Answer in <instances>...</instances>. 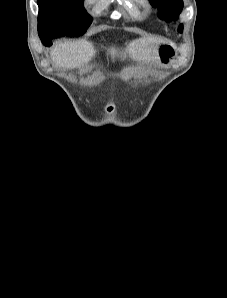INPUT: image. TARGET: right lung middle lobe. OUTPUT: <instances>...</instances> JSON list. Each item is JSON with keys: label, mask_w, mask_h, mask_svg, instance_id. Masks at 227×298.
<instances>
[{"label": "right lung middle lobe", "mask_w": 227, "mask_h": 298, "mask_svg": "<svg viewBox=\"0 0 227 298\" xmlns=\"http://www.w3.org/2000/svg\"><path fill=\"white\" fill-rule=\"evenodd\" d=\"M84 0H38V33L56 37L78 36L86 32L91 17L83 7Z\"/></svg>", "instance_id": "right-lung-middle-lobe-1"}]
</instances>
